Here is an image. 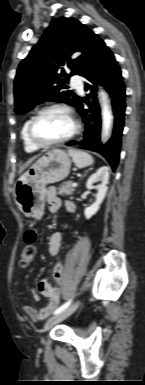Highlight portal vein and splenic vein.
Segmentation results:
<instances>
[{
	"mask_svg": "<svg viewBox=\"0 0 145 385\" xmlns=\"http://www.w3.org/2000/svg\"><path fill=\"white\" fill-rule=\"evenodd\" d=\"M72 186H73V187H76V186H77V183H76V182L72 183Z\"/></svg>",
	"mask_w": 145,
	"mask_h": 385,
	"instance_id": "18ae733b",
	"label": "portal vein and splenic vein"
}]
</instances>
